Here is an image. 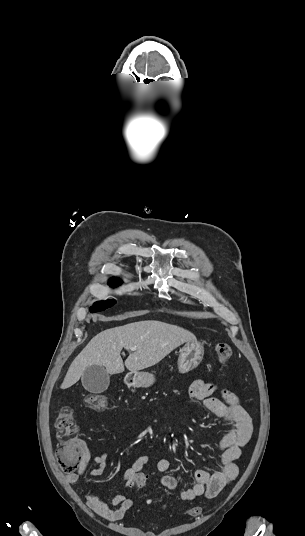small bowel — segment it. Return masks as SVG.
Instances as JSON below:
<instances>
[{
    "label": "small bowel",
    "mask_w": 305,
    "mask_h": 536,
    "mask_svg": "<svg viewBox=\"0 0 305 536\" xmlns=\"http://www.w3.org/2000/svg\"><path fill=\"white\" fill-rule=\"evenodd\" d=\"M214 394H219L220 396L217 397ZM189 398L192 401L202 402L206 409L213 411L230 427L219 443L223 452L216 471L213 473L205 470L196 471L194 485L181 492L183 500L193 501L203 496L212 499L237 477L238 467L235 461L240 458L242 448L251 439L253 432L252 420L234 394L202 379L193 381L189 388ZM78 444L81 449V457L77 469L74 473L67 475V481L71 484L79 480L90 462L95 464V468L90 472L92 477L102 475L108 465L107 453L91 456L82 441H78ZM148 463L149 457L142 455L137 458L131 467L125 470V488H133L135 470L145 469ZM156 467L159 472L167 473L170 470L171 461L168 458H161L157 461ZM161 484L168 489H174L177 486V480L175 477L165 474L161 478ZM86 500L88 506L98 516L112 522L121 520L133 506V500L123 494H117L113 497L114 507H109L100 496L91 491L87 492Z\"/></svg>",
    "instance_id": "obj_1"
}]
</instances>
